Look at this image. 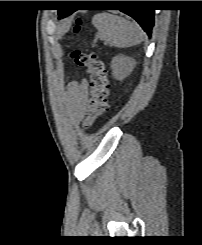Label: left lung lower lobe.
Here are the masks:
<instances>
[{
	"mask_svg": "<svg viewBox=\"0 0 202 245\" xmlns=\"http://www.w3.org/2000/svg\"><path fill=\"white\" fill-rule=\"evenodd\" d=\"M128 4L133 6V8H128L120 11L134 18L140 24L143 30L150 36L152 28L154 26V10L140 8V6L142 5V1H129ZM74 11L76 10L64 9V10H59L58 14L60 16L70 15Z\"/></svg>",
	"mask_w": 202,
	"mask_h": 245,
	"instance_id": "0a47b994",
	"label": "left lung lower lobe"
}]
</instances>
